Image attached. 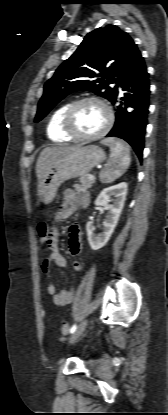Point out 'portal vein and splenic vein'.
<instances>
[{
    "label": "portal vein and splenic vein",
    "instance_id": "portal-vein-and-splenic-vein-1",
    "mask_svg": "<svg viewBox=\"0 0 168 415\" xmlns=\"http://www.w3.org/2000/svg\"><path fill=\"white\" fill-rule=\"evenodd\" d=\"M88 178H89L90 180H93V179H94V176H93L92 174H90V175H88Z\"/></svg>",
    "mask_w": 168,
    "mask_h": 415
}]
</instances>
